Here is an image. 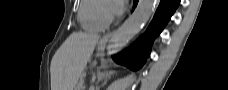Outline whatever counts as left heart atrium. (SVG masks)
<instances>
[{"mask_svg":"<svg viewBox=\"0 0 228 90\" xmlns=\"http://www.w3.org/2000/svg\"><path fill=\"white\" fill-rule=\"evenodd\" d=\"M122 8H123V5L117 4V5L111 7V11L114 14H119V13H121Z\"/></svg>","mask_w":228,"mask_h":90,"instance_id":"left-heart-atrium-1","label":"left heart atrium"}]
</instances>
